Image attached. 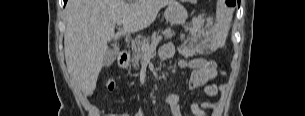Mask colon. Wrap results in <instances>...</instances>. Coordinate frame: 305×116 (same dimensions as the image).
Segmentation results:
<instances>
[{
	"instance_id": "1",
	"label": "colon",
	"mask_w": 305,
	"mask_h": 116,
	"mask_svg": "<svg viewBox=\"0 0 305 116\" xmlns=\"http://www.w3.org/2000/svg\"><path fill=\"white\" fill-rule=\"evenodd\" d=\"M218 4V9L222 12V13H228L229 11L232 10L234 4L232 3V1L230 0H218L217 1ZM107 88L112 91L115 88V81L113 78H109L107 80ZM105 116H129L128 113H108Z\"/></svg>"
}]
</instances>
